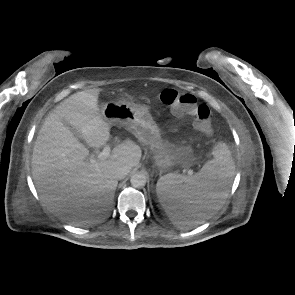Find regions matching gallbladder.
<instances>
[{"label":"gallbladder","instance_id":"bac80fb5","mask_svg":"<svg viewBox=\"0 0 295 295\" xmlns=\"http://www.w3.org/2000/svg\"><path fill=\"white\" fill-rule=\"evenodd\" d=\"M64 125H65L66 127H68V128L70 129V131H71L75 136L80 137V134H79L77 131H75L73 128H71L70 125H69L68 123L64 122Z\"/></svg>","mask_w":295,"mask_h":295}]
</instances>
